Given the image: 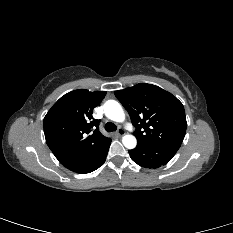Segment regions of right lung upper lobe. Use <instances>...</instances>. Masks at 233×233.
Listing matches in <instances>:
<instances>
[{
	"label": "right lung upper lobe",
	"mask_w": 233,
	"mask_h": 233,
	"mask_svg": "<svg viewBox=\"0 0 233 233\" xmlns=\"http://www.w3.org/2000/svg\"><path fill=\"white\" fill-rule=\"evenodd\" d=\"M105 91H71L62 96L44 118L47 145L67 169H82L108 142L99 129L93 109L105 97Z\"/></svg>",
	"instance_id": "obj_1"
}]
</instances>
